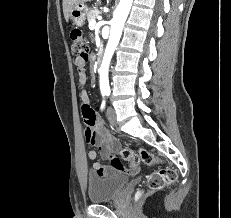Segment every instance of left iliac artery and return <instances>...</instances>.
<instances>
[{
	"label": "left iliac artery",
	"instance_id": "obj_1",
	"mask_svg": "<svg viewBox=\"0 0 231 218\" xmlns=\"http://www.w3.org/2000/svg\"><path fill=\"white\" fill-rule=\"evenodd\" d=\"M105 94H106L107 96H109V95H110V92H109V91H107Z\"/></svg>",
	"mask_w": 231,
	"mask_h": 218
}]
</instances>
